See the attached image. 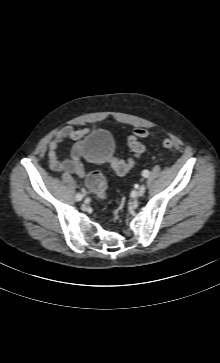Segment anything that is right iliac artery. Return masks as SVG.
I'll use <instances>...</instances> for the list:
<instances>
[{
  "mask_svg": "<svg viewBox=\"0 0 220 363\" xmlns=\"http://www.w3.org/2000/svg\"><path fill=\"white\" fill-rule=\"evenodd\" d=\"M77 201H80L82 199V195L80 193L76 194L75 196Z\"/></svg>",
  "mask_w": 220,
  "mask_h": 363,
  "instance_id": "82829eb1",
  "label": "right iliac artery"
}]
</instances>
